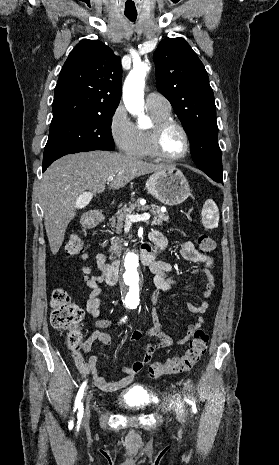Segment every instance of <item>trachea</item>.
<instances>
[{"instance_id": "1", "label": "trachea", "mask_w": 279, "mask_h": 465, "mask_svg": "<svg viewBox=\"0 0 279 465\" xmlns=\"http://www.w3.org/2000/svg\"><path fill=\"white\" fill-rule=\"evenodd\" d=\"M126 17H127L130 21L134 22V21L136 20V18H137V14H133V15H132V14H131V15L126 14Z\"/></svg>"}]
</instances>
